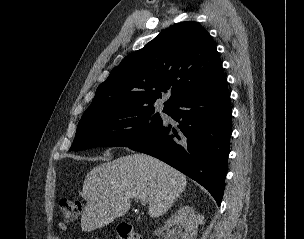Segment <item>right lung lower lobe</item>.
I'll return each instance as SVG.
<instances>
[{"mask_svg": "<svg viewBox=\"0 0 304 239\" xmlns=\"http://www.w3.org/2000/svg\"><path fill=\"white\" fill-rule=\"evenodd\" d=\"M164 112L176 129L162 121L128 148L156 157L206 188L220 206L232 134L230 95L224 73L206 86L180 96Z\"/></svg>", "mask_w": 304, "mask_h": 239, "instance_id": "obj_1", "label": "right lung lower lobe"}]
</instances>
